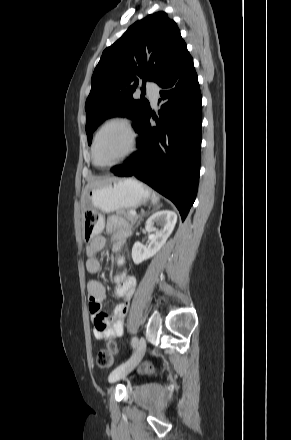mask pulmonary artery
<instances>
[{
  "label": "pulmonary artery",
  "mask_w": 291,
  "mask_h": 440,
  "mask_svg": "<svg viewBox=\"0 0 291 440\" xmlns=\"http://www.w3.org/2000/svg\"><path fill=\"white\" fill-rule=\"evenodd\" d=\"M148 95L150 99L155 103L159 97V89L156 85L149 83L147 85Z\"/></svg>",
  "instance_id": "pulmonary-artery-1"
}]
</instances>
